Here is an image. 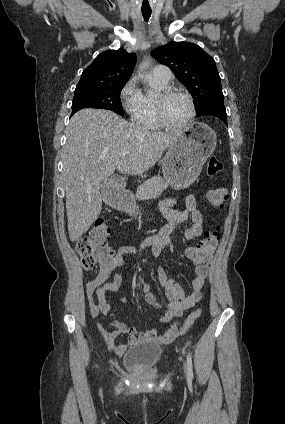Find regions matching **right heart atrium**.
I'll return each mask as SVG.
<instances>
[{"instance_id":"right-heart-atrium-1","label":"right heart atrium","mask_w":285,"mask_h":424,"mask_svg":"<svg viewBox=\"0 0 285 424\" xmlns=\"http://www.w3.org/2000/svg\"><path fill=\"white\" fill-rule=\"evenodd\" d=\"M120 101L124 111L132 120L137 121L143 107V94L137 79L131 77L120 90Z\"/></svg>"}]
</instances>
